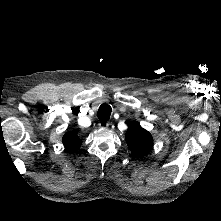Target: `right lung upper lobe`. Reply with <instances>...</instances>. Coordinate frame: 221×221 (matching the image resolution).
<instances>
[{"label": "right lung upper lobe", "mask_w": 221, "mask_h": 221, "mask_svg": "<svg viewBox=\"0 0 221 221\" xmlns=\"http://www.w3.org/2000/svg\"><path fill=\"white\" fill-rule=\"evenodd\" d=\"M81 143L82 141L75 131L67 132L63 137V144L70 151L78 150Z\"/></svg>", "instance_id": "1"}]
</instances>
